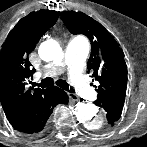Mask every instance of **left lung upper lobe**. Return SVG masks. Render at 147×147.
<instances>
[{
    "label": "left lung upper lobe",
    "mask_w": 147,
    "mask_h": 147,
    "mask_svg": "<svg viewBox=\"0 0 147 147\" xmlns=\"http://www.w3.org/2000/svg\"><path fill=\"white\" fill-rule=\"evenodd\" d=\"M62 20L73 34L90 38L92 52L88 73L99 81L96 102L125 97L127 85L126 63L116 40L97 21L81 12H63Z\"/></svg>",
    "instance_id": "1"
}]
</instances>
